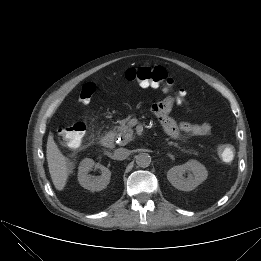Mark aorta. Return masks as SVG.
I'll list each match as a JSON object with an SVG mask.
<instances>
[{"mask_svg":"<svg viewBox=\"0 0 261 261\" xmlns=\"http://www.w3.org/2000/svg\"><path fill=\"white\" fill-rule=\"evenodd\" d=\"M136 164L139 167L146 168L151 163V156L148 153H139L136 157Z\"/></svg>","mask_w":261,"mask_h":261,"instance_id":"1","label":"aorta"}]
</instances>
